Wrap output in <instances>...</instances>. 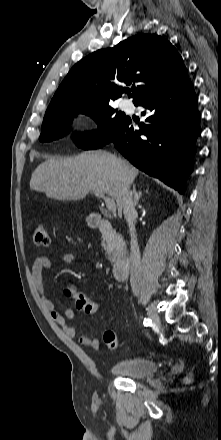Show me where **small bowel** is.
Listing matches in <instances>:
<instances>
[{
	"mask_svg": "<svg viewBox=\"0 0 221 440\" xmlns=\"http://www.w3.org/2000/svg\"><path fill=\"white\" fill-rule=\"evenodd\" d=\"M60 262L62 264L81 265L86 269L89 268V265L86 262L82 261L78 255L72 253L64 254L61 257ZM52 267H53L52 255L48 253L39 254L35 258L32 264V269H31L32 281L38 294L41 296L44 306L50 312L54 322H56L59 326H61L64 333L68 337L75 338L77 336L76 328L67 324V320L74 317L75 314L74 309L68 308L65 310L64 313H61L56 310L54 303L45 296L43 272L44 270L51 269ZM67 290H71L72 297L69 298L72 300L74 304L73 296L79 293L78 288L74 284H67L65 287V292ZM79 341L82 345L91 349H98L100 346V341L98 338H92L86 335L80 336Z\"/></svg>",
	"mask_w": 221,
	"mask_h": 440,
	"instance_id": "c3829d8e",
	"label": "small bowel"
}]
</instances>
